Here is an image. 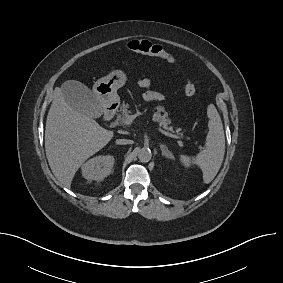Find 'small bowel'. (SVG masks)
Listing matches in <instances>:
<instances>
[{
    "instance_id": "c3829d8e",
    "label": "small bowel",
    "mask_w": 283,
    "mask_h": 283,
    "mask_svg": "<svg viewBox=\"0 0 283 283\" xmlns=\"http://www.w3.org/2000/svg\"><path fill=\"white\" fill-rule=\"evenodd\" d=\"M152 83V79L150 77L147 76H142L139 80H138V85L141 88H148L150 87ZM164 98V96L156 91H151L148 90L144 93V99L146 101L152 102V101H160Z\"/></svg>"
}]
</instances>
